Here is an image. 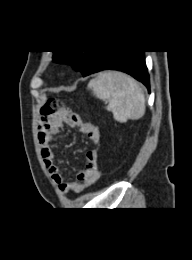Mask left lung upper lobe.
<instances>
[{"label": "left lung upper lobe", "instance_id": "obj_1", "mask_svg": "<svg viewBox=\"0 0 192 260\" xmlns=\"http://www.w3.org/2000/svg\"><path fill=\"white\" fill-rule=\"evenodd\" d=\"M53 60L57 63L71 64L84 74L97 51H53ZM74 52V54H71Z\"/></svg>", "mask_w": 192, "mask_h": 260}]
</instances>
